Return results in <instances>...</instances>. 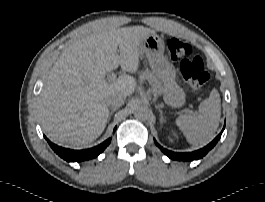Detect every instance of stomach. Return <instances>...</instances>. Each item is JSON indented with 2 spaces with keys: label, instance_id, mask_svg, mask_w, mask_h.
<instances>
[{
  "label": "stomach",
  "instance_id": "0dacf381",
  "mask_svg": "<svg viewBox=\"0 0 265 202\" xmlns=\"http://www.w3.org/2000/svg\"><path fill=\"white\" fill-rule=\"evenodd\" d=\"M165 43L157 34H150L140 44V56H145L152 71L163 83L164 101L171 107L179 108L185 103V93L176 83V70L164 57Z\"/></svg>",
  "mask_w": 265,
  "mask_h": 202
}]
</instances>
